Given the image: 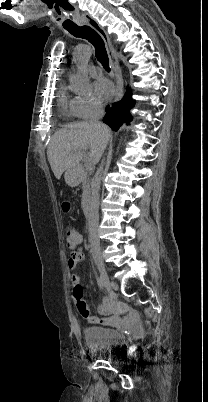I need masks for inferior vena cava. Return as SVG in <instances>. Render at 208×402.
Returning a JSON list of instances; mask_svg holds the SVG:
<instances>
[{
	"mask_svg": "<svg viewBox=\"0 0 208 402\" xmlns=\"http://www.w3.org/2000/svg\"><path fill=\"white\" fill-rule=\"evenodd\" d=\"M93 114L89 120L90 124H96V126H103L98 120L102 118L104 110L100 104H92ZM106 172L103 170V164L98 168L91 184V206L88 216V232H89V242L92 246H100L99 236H98V226H99V190L100 184L103 176Z\"/></svg>",
	"mask_w": 208,
	"mask_h": 402,
	"instance_id": "1",
	"label": "inferior vena cava"
}]
</instances>
